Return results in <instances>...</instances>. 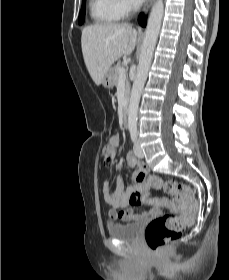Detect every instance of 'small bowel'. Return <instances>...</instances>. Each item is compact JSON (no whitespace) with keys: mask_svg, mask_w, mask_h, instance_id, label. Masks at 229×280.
Segmentation results:
<instances>
[{"mask_svg":"<svg viewBox=\"0 0 229 280\" xmlns=\"http://www.w3.org/2000/svg\"><path fill=\"white\" fill-rule=\"evenodd\" d=\"M110 143L113 146L119 144V136L113 135L110 138ZM125 164L128 167H138L137 171L133 174V181L127 190L122 189L121 175H116V189L112 190L109 183L106 181L103 186V194L111 205L109 211V217L114 221H134L139 218H150L160 213L162 208L174 209V204L164 197H152L150 191L153 188L151 184L147 182L138 183L137 176L140 173H146L143 168V163L132 152L128 153L125 157ZM135 193L141 194V200L139 204L149 206L148 209L142 213L136 212L134 206L139 205L131 202V196ZM129 207L128 209H125Z\"/></svg>","mask_w":229,"mask_h":280,"instance_id":"obj_1","label":"small bowel"}]
</instances>
